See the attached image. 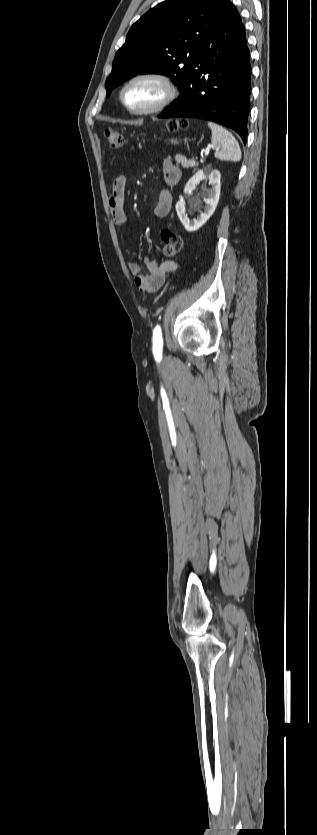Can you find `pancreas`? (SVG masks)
<instances>
[{
    "instance_id": "obj_1",
    "label": "pancreas",
    "mask_w": 317,
    "mask_h": 835,
    "mask_svg": "<svg viewBox=\"0 0 317 835\" xmlns=\"http://www.w3.org/2000/svg\"><path fill=\"white\" fill-rule=\"evenodd\" d=\"M176 163H181L183 168L197 167L198 163L194 159H187L184 155L177 154L175 156Z\"/></svg>"
}]
</instances>
